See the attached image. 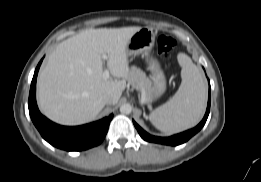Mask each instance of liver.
<instances>
[{
	"instance_id": "liver-1",
	"label": "liver",
	"mask_w": 261,
	"mask_h": 182,
	"mask_svg": "<svg viewBox=\"0 0 261 182\" xmlns=\"http://www.w3.org/2000/svg\"><path fill=\"white\" fill-rule=\"evenodd\" d=\"M141 27L88 29L61 42L48 57L37 80L38 104L44 115L63 125L90 122L110 95L117 104L130 70L127 44ZM113 80L103 78V58Z\"/></svg>"
}]
</instances>
